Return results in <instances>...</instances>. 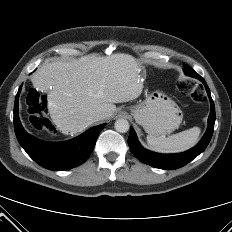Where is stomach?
Masks as SVG:
<instances>
[{"mask_svg":"<svg viewBox=\"0 0 232 232\" xmlns=\"http://www.w3.org/2000/svg\"><path fill=\"white\" fill-rule=\"evenodd\" d=\"M131 115L144 130L154 136H165L176 130L183 114L178 105L160 91L147 95L139 104L129 107Z\"/></svg>","mask_w":232,"mask_h":232,"instance_id":"stomach-1","label":"stomach"}]
</instances>
